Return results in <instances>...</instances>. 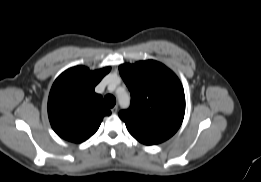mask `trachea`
Segmentation results:
<instances>
[{
    "label": "trachea",
    "instance_id": "obj_1",
    "mask_svg": "<svg viewBox=\"0 0 261 182\" xmlns=\"http://www.w3.org/2000/svg\"><path fill=\"white\" fill-rule=\"evenodd\" d=\"M104 104L108 107V108H112L114 107V105L116 104V99L113 95H106L104 97Z\"/></svg>",
    "mask_w": 261,
    "mask_h": 182
}]
</instances>
